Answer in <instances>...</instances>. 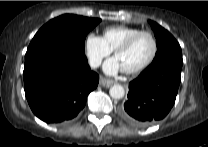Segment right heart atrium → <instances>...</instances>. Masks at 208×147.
Returning <instances> with one entry per match:
<instances>
[{
    "label": "right heart atrium",
    "instance_id": "right-heart-atrium-1",
    "mask_svg": "<svg viewBox=\"0 0 208 147\" xmlns=\"http://www.w3.org/2000/svg\"><path fill=\"white\" fill-rule=\"evenodd\" d=\"M85 51L89 63L93 67L99 66L102 60L109 56L112 52L103 37L94 33H89L86 36Z\"/></svg>",
    "mask_w": 208,
    "mask_h": 147
}]
</instances>
